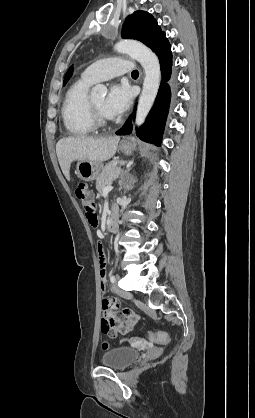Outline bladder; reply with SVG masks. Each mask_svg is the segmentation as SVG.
<instances>
[{
  "label": "bladder",
  "mask_w": 255,
  "mask_h": 418,
  "mask_svg": "<svg viewBox=\"0 0 255 418\" xmlns=\"http://www.w3.org/2000/svg\"><path fill=\"white\" fill-rule=\"evenodd\" d=\"M139 357V352L130 347H117L104 352L101 357L102 365L113 369H125Z\"/></svg>",
  "instance_id": "obj_1"
}]
</instances>
